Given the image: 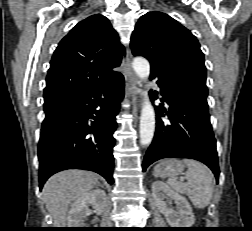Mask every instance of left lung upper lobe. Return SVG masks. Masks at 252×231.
Segmentation results:
<instances>
[{
    "mask_svg": "<svg viewBox=\"0 0 252 231\" xmlns=\"http://www.w3.org/2000/svg\"><path fill=\"white\" fill-rule=\"evenodd\" d=\"M134 56L150 61L151 74L191 77L206 85L204 55L196 37L162 12H148L136 23L131 36Z\"/></svg>",
    "mask_w": 252,
    "mask_h": 231,
    "instance_id": "left-lung-upper-lobe-1",
    "label": "left lung upper lobe"
}]
</instances>
